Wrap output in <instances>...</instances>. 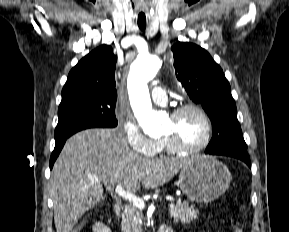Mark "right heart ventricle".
<instances>
[{"mask_svg":"<svg viewBox=\"0 0 289 232\" xmlns=\"http://www.w3.org/2000/svg\"><path fill=\"white\" fill-rule=\"evenodd\" d=\"M159 152H167V153L171 152L163 140H160V147L158 153Z\"/></svg>","mask_w":289,"mask_h":232,"instance_id":"1","label":"right heart ventricle"}]
</instances>
